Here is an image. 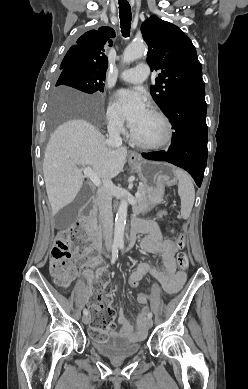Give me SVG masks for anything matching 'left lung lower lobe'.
Masks as SVG:
<instances>
[{
    "label": "left lung lower lobe",
    "mask_w": 248,
    "mask_h": 389,
    "mask_svg": "<svg viewBox=\"0 0 248 389\" xmlns=\"http://www.w3.org/2000/svg\"><path fill=\"white\" fill-rule=\"evenodd\" d=\"M207 104L205 89L178 97L164 112L170 118L173 139L168 151L143 153L149 160L167 161L185 169L200 187L207 163Z\"/></svg>",
    "instance_id": "1"
}]
</instances>
